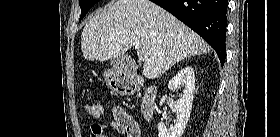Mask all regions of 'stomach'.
<instances>
[{
	"label": "stomach",
	"instance_id": "obj_1",
	"mask_svg": "<svg viewBox=\"0 0 280 137\" xmlns=\"http://www.w3.org/2000/svg\"><path fill=\"white\" fill-rule=\"evenodd\" d=\"M106 81H107L109 87L112 90H114L116 92H119V93L126 92V87H125V85L123 83L118 82V81H113L110 78H107Z\"/></svg>",
	"mask_w": 280,
	"mask_h": 137
}]
</instances>
